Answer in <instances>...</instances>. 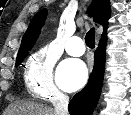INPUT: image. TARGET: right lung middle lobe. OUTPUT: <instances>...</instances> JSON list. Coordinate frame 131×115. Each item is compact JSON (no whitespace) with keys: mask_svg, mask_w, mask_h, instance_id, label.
I'll return each instance as SVG.
<instances>
[{"mask_svg":"<svg viewBox=\"0 0 131 115\" xmlns=\"http://www.w3.org/2000/svg\"><path fill=\"white\" fill-rule=\"evenodd\" d=\"M28 51H30V49ZM28 51L17 57L15 64L16 67H18L22 63V61L26 58V56L28 55Z\"/></svg>","mask_w":131,"mask_h":115,"instance_id":"1","label":"right lung middle lobe"}]
</instances>
